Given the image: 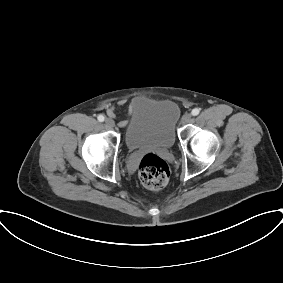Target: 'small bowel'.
Here are the masks:
<instances>
[{"instance_id":"obj_1","label":"small bowel","mask_w":283,"mask_h":283,"mask_svg":"<svg viewBox=\"0 0 283 283\" xmlns=\"http://www.w3.org/2000/svg\"><path fill=\"white\" fill-rule=\"evenodd\" d=\"M139 102H140L139 100H134V101L129 105V111H131V110L133 109V107H134L135 105H137ZM118 104L122 106V105L125 104V101H119ZM107 115H108L109 117H111V118H114V117H115V115H116V109H115L114 106H110V107L107 108ZM118 125H119L120 127H125V126L127 125V121H126V120H120V121L118 122Z\"/></svg>"}]
</instances>
